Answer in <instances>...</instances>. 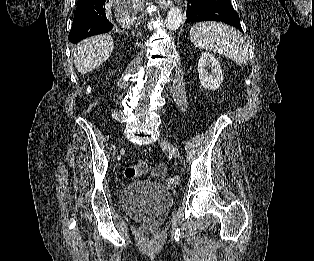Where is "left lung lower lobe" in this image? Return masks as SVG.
<instances>
[{
	"label": "left lung lower lobe",
	"mask_w": 314,
	"mask_h": 261,
	"mask_svg": "<svg viewBox=\"0 0 314 261\" xmlns=\"http://www.w3.org/2000/svg\"><path fill=\"white\" fill-rule=\"evenodd\" d=\"M209 20L225 22L243 32L230 0H188L186 23Z\"/></svg>",
	"instance_id": "left-lung-lower-lobe-1"
}]
</instances>
